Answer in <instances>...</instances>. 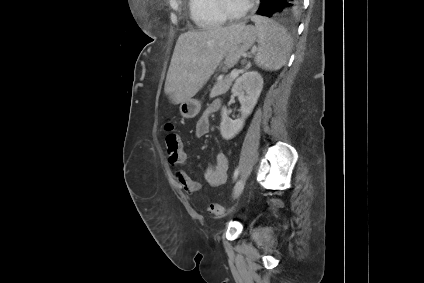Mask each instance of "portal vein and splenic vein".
<instances>
[{"label":"portal vein and splenic vein","instance_id":"18ae733b","mask_svg":"<svg viewBox=\"0 0 424 283\" xmlns=\"http://www.w3.org/2000/svg\"><path fill=\"white\" fill-rule=\"evenodd\" d=\"M238 76V71L237 70H233L230 74V77H237Z\"/></svg>","mask_w":424,"mask_h":283}]
</instances>
